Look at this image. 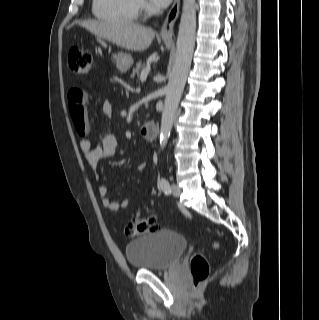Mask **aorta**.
Masks as SVG:
<instances>
[{"instance_id":"aorta-1","label":"aorta","mask_w":319,"mask_h":320,"mask_svg":"<svg viewBox=\"0 0 319 320\" xmlns=\"http://www.w3.org/2000/svg\"><path fill=\"white\" fill-rule=\"evenodd\" d=\"M195 36V0H183L175 59L166 88V97L161 118L160 145L162 148L167 144L179 101L185 87L195 46Z\"/></svg>"}]
</instances>
